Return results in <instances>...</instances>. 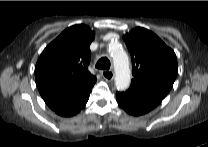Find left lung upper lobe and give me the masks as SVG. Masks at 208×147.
<instances>
[{"mask_svg":"<svg viewBox=\"0 0 208 147\" xmlns=\"http://www.w3.org/2000/svg\"><path fill=\"white\" fill-rule=\"evenodd\" d=\"M131 54L133 88H138L164 99L178 73L174 51L154 33L135 28L123 36Z\"/></svg>","mask_w":208,"mask_h":147,"instance_id":"left-lung-upper-lobe-1","label":"left lung upper lobe"}]
</instances>
